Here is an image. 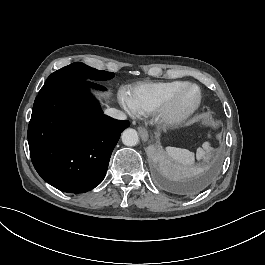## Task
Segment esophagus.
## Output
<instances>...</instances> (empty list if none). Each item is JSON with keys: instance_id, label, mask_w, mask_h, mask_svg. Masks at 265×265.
Returning <instances> with one entry per match:
<instances>
[{"instance_id": "1", "label": "esophagus", "mask_w": 265, "mask_h": 265, "mask_svg": "<svg viewBox=\"0 0 265 265\" xmlns=\"http://www.w3.org/2000/svg\"><path fill=\"white\" fill-rule=\"evenodd\" d=\"M138 132H139L143 142L148 141L149 135H148V131H147V129L145 127L139 126L138 127Z\"/></svg>"}]
</instances>
